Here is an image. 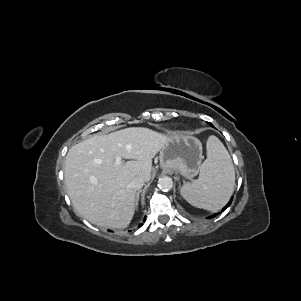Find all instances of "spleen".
Wrapping results in <instances>:
<instances>
[{"label":"spleen","mask_w":301,"mask_h":301,"mask_svg":"<svg viewBox=\"0 0 301 301\" xmlns=\"http://www.w3.org/2000/svg\"><path fill=\"white\" fill-rule=\"evenodd\" d=\"M207 155L199 178L184 184L180 192L194 207L217 212L233 193L235 171L228 151L215 136H210L207 140Z\"/></svg>","instance_id":"1"}]
</instances>
